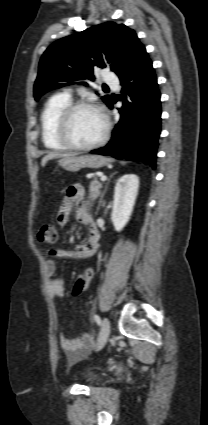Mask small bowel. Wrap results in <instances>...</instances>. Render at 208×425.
Wrapping results in <instances>:
<instances>
[{
  "label": "small bowel",
  "mask_w": 208,
  "mask_h": 425,
  "mask_svg": "<svg viewBox=\"0 0 208 425\" xmlns=\"http://www.w3.org/2000/svg\"><path fill=\"white\" fill-rule=\"evenodd\" d=\"M75 207L77 221L89 226V236L84 243L78 244L74 249L52 250L50 253L59 259H86L92 257L97 250L99 232L88 211L87 203L84 200V188L81 184H74L67 188L57 215V221L60 225L67 224L70 214ZM46 270L48 275V292L50 296L53 298H62L65 295L66 287L64 281L56 275V261L48 260L46 263ZM89 344L90 336L88 334H84L75 339H70L65 336L60 337V346L72 360H77L83 356Z\"/></svg>",
  "instance_id": "small-bowel-1"
}]
</instances>
